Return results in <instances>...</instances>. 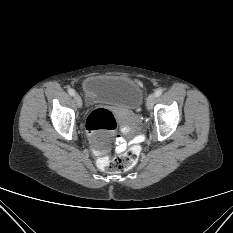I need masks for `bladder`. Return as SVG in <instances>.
Returning <instances> with one entry per match:
<instances>
[{"label":"bladder","instance_id":"obj_1","mask_svg":"<svg viewBox=\"0 0 233 233\" xmlns=\"http://www.w3.org/2000/svg\"><path fill=\"white\" fill-rule=\"evenodd\" d=\"M86 101L91 105H109L122 109L138 108L143 101L140 86L131 78L118 75H92L83 80ZM93 146L102 150L106 141L94 137Z\"/></svg>","mask_w":233,"mask_h":233}]
</instances>
